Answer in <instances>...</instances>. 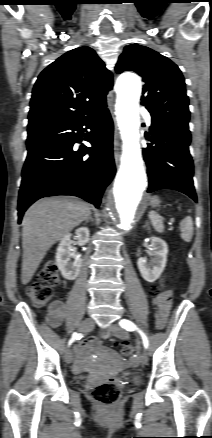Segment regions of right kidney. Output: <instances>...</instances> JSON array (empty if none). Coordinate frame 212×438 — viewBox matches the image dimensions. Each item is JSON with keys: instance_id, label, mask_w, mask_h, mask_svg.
<instances>
[{"instance_id": "ca27d5eb", "label": "right kidney", "mask_w": 212, "mask_h": 438, "mask_svg": "<svg viewBox=\"0 0 212 438\" xmlns=\"http://www.w3.org/2000/svg\"><path fill=\"white\" fill-rule=\"evenodd\" d=\"M89 235L87 227H80L75 231L74 238L79 244L85 245L89 241ZM71 236L70 233L63 236L56 252V265L62 276L68 280L76 279L82 266V259L72 250Z\"/></svg>"}]
</instances>
